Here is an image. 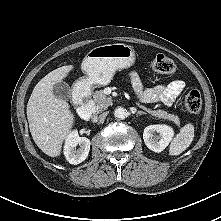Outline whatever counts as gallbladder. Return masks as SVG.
<instances>
[{
	"instance_id": "1",
	"label": "gallbladder",
	"mask_w": 221,
	"mask_h": 221,
	"mask_svg": "<svg viewBox=\"0 0 221 221\" xmlns=\"http://www.w3.org/2000/svg\"><path fill=\"white\" fill-rule=\"evenodd\" d=\"M53 93L56 98L67 101L71 99L72 90L66 82H59L53 86Z\"/></svg>"
}]
</instances>
